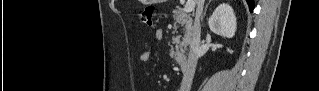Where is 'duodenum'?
I'll use <instances>...</instances> for the list:
<instances>
[{
    "label": "duodenum",
    "mask_w": 319,
    "mask_h": 91,
    "mask_svg": "<svg viewBox=\"0 0 319 91\" xmlns=\"http://www.w3.org/2000/svg\"><path fill=\"white\" fill-rule=\"evenodd\" d=\"M175 61L179 65V67L183 70L187 68V57L184 54H177L175 56Z\"/></svg>",
    "instance_id": "1"
}]
</instances>
